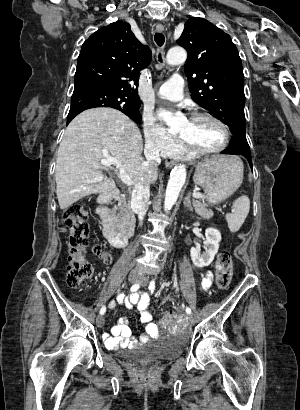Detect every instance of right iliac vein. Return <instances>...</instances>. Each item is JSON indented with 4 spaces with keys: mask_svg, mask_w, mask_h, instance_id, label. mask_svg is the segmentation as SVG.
I'll return each mask as SVG.
<instances>
[{
    "mask_svg": "<svg viewBox=\"0 0 300 410\" xmlns=\"http://www.w3.org/2000/svg\"><path fill=\"white\" fill-rule=\"evenodd\" d=\"M128 280H129L130 283H136L139 280V276L136 273L132 272V273L129 274ZM104 323H105V321H104L103 316L98 315L97 318H96L97 326L98 327H103Z\"/></svg>",
    "mask_w": 300,
    "mask_h": 410,
    "instance_id": "obj_1",
    "label": "right iliac vein"
}]
</instances>
